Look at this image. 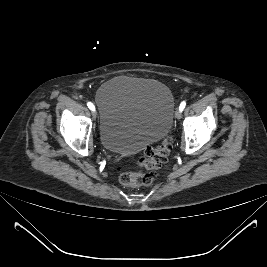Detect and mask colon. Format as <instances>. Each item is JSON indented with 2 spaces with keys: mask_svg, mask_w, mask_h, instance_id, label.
Masks as SVG:
<instances>
[{
  "mask_svg": "<svg viewBox=\"0 0 267 267\" xmlns=\"http://www.w3.org/2000/svg\"><path fill=\"white\" fill-rule=\"evenodd\" d=\"M171 150V143L168 139H164L157 146L147 147L138 157L135 166L146 169L148 172L126 171L120 175V182L124 186L137 187L149 185L153 181L152 171L165 166L168 162V155Z\"/></svg>",
  "mask_w": 267,
  "mask_h": 267,
  "instance_id": "obj_1",
  "label": "colon"
}]
</instances>
